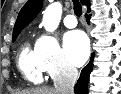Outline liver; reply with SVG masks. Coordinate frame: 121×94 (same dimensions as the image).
<instances>
[{
    "label": "liver",
    "instance_id": "liver-1",
    "mask_svg": "<svg viewBox=\"0 0 121 94\" xmlns=\"http://www.w3.org/2000/svg\"><path fill=\"white\" fill-rule=\"evenodd\" d=\"M18 94H58L56 89L50 87H40L31 90H24Z\"/></svg>",
    "mask_w": 121,
    "mask_h": 94
}]
</instances>
